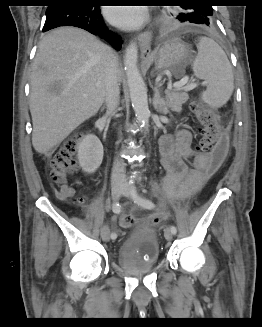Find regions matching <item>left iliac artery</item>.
<instances>
[{"label": "left iliac artery", "instance_id": "1", "mask_svg": "<svg viewBox=\"0 0 262 327\" xmlns=\"http://www.w3.org/2000/svg\"><path fill=\"white\" fill-rule=\"evenodd\" d=\"M133 195H134V198H135V202L140 204L141 206L145 207V208H148V209H152L154 208V203L146 198H142L140 196H138L134 191H133ZM171 232L173 234H176L177 232V229L175 226H171L170 228Z\"/></svg>", "mask_w": 262, "mask_h": 327}]
</instances>
